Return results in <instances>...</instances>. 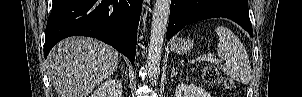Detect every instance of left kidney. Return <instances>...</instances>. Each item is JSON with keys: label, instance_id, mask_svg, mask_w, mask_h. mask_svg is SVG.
<instances>
[{"label": "left kidney", "instance_id": "obj_1", "mask_svg": "<svg viewBox=\"0 0 302 97\" xmlns=\"http://www.w3.org/2000/svg\"><path fill=\"white\" fill-rule=\"evenodd\" d=\"M175 97H210V94L193 83H180L176 88Z\"/></svg>", "mask_w": 302, "mask_h": 97}]
</instances>
